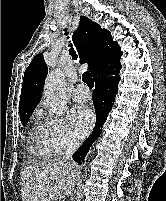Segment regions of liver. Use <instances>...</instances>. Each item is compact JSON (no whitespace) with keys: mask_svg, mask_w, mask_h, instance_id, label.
<instances>
[{"mask_svg":"<svg viewBox=\"0 0 166 201\" xmlns=\"http://www.w3.org/2000/svg\"><path fill=\"white\" fill-rule=\"evenodd\" d=\"M78 167L62 160L44 161L26 167L20 178L23 201H57L74 189Z\"/></svg>","mask_w":166,"mask_h":201,"instance_id":"1","label":"liver"}]
</instances>
